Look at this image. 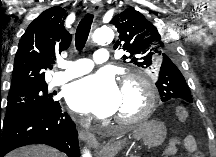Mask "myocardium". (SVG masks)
<instances>
[{
  "label": "myocardium",
  "instance_id": "f54148a6",
  "mask_svg": "<svg viewBox=\"0 0 216 157\" xmlns=\"http://www.w3.org/2000/svg\"><path fill=\"white\" fill-rule=\"evenodd\" d=\"M133 86L142 93L143 106L135 115L130 117H116V121L124 126H135L145 121L154 111L157 104V92L151 82L144 76L136 73H127L123 77L122 89Z\"/></svg>",
  "mask_w": 216,
  "mask_h": 157
}]
</instances>
